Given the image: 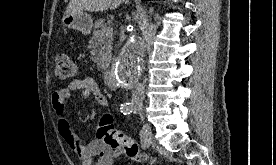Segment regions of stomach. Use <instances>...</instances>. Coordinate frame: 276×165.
<instances>
[{
    "label": "stomach",
    "instance_id": "1",
    "mask_svg": "<svg viewBox=\"0 0 276 165\" xmlns=\"http://www.w3.org/2000/svg\"><path fill=\"white\" fill-rule=\"evenodd\" d=\"M64 27L74 29L87 35L91 32L93 20L90 15L84 12L64 15L62 18Z\"/></svg>",
    "mask_w": 276,
    "mask_h": 165
}]
</instances>
